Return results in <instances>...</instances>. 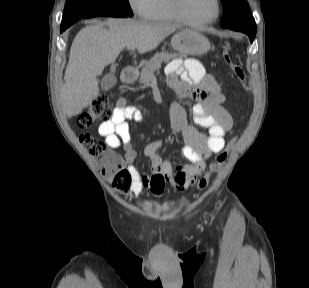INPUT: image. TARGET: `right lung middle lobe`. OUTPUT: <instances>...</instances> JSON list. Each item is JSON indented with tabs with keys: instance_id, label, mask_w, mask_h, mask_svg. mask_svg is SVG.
<instances>
[{
	"instance_id": "obj_1",
	"label": "right lung middle lobe",
	"mask_w": 309,
	"mask_h": 288,
	"mask_svg": "<svg viewBox=\"0 0 309 288\" xmlns=\"http://www.w3.org/2000/svg\"><path fill=\"white\" fill-rule=\"evenodd\" d=\"M96 11H116L133 16L128 0H68L61 27L68 28L76 20Z\"/></svg>"
}]
</instances>
